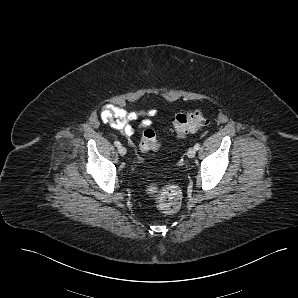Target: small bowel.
Listing matches in <instances>:
<instances>
[{
	"mask_svg": "<svg viewBox=\"0 0 298 298\" xmlns=\"http://www.w3.org/2000/svg\"><path fill=\"white\" fill-rule=\"evenodd\" d=\"M141 114H145L148 118L141 122L142 127H148L152 124V117L157 114V110L151 108L146 112L140 113L135 111H127L122 107L107 104L100 113V119L103 123L110 124L111 127L118 130L124 136H131L134 133L132 122L135 121Z\"/></svg>",
	"mask_w": 298,
	"mask_h": 298,
	"instance_id": "obj_1",
	"label": "small bowel"
}]
</instances>
